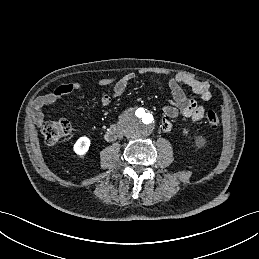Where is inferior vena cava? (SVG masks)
<instances>
[{"instance_id": "602c4592", "label": "inferior vena cava", "mask_w": 259, "mask_h": 259, "mask_svg": "<svg viewBox=\"0 0 259 259\" xmlns=\"http://www.w3.org/2000/svg\"><path fill=\"white\" fill-rule=\"evenodd\" d=\"M122 136V133L121 132H119V137H121Z\"/></svg>"}]
</instances>
